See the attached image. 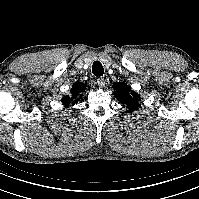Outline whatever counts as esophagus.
Here are the masks:
<instances>
[{
    "label": "esophagus",
    "mask_w": 199,
    "mask_h": 199,
    "mask_svg": "<svg viewBox=\"0 0 199 199\" xmlns=\"http://www.w3.org/2000/svg\"><path fill=\"white\" fill-rule=\"evenodd\" d=\"M97 84L100 88H103L106 84V79L103 77H100L97 79Z\"/></svg>",
    "instance_id": "1"
}]
</instances>
